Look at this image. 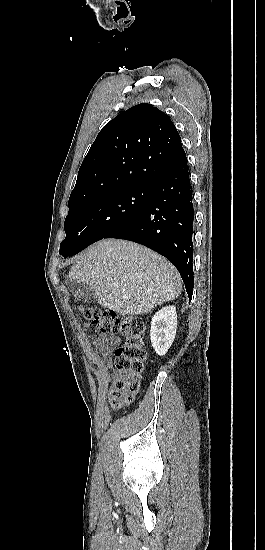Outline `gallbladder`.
Wrapping results in <instances>:
<instances>
[{
  "label": "gallbladder",
  "instance_id": "obj_1",
  "mask_svg": "<svg viewBox=\"0 0 265 550\" xmlns=\"http://www.w3.org/2000/svg\"><path fill=\"white\" fill-rule=\"evenodd\" d=\"M68 287L72 294L84 303H92L96 300L95 292L88 284L76 283L75 281L69 280Z\"/></svg>",
  "mask_w": 265,
  "mask_h": 550
}]
</instances>
